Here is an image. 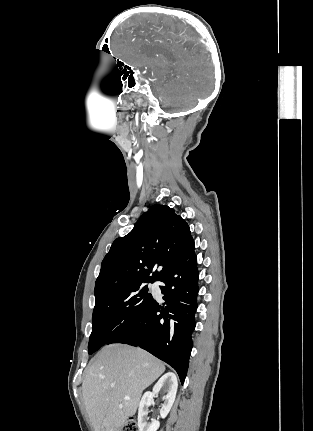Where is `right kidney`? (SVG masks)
Segmentation results:
<instances>
[{
    "instance_id": "ca27d5eb",
    "label": "right kidney",
    "mask_w": 313,
    "mask_h": 431,
    "mask_svg": "<svg viewBox=\"0 0 313 431\" xmlns=\"http://www.w3.org/2000/svg\"><path fill=\"white\" fill-rule=\"evenodd\" d=\"M177 378L175 374L168 372L164 374L158 382L153 387L152 392H146L140 403H139V409H138V428L139 431H157V429L160 426L159 421L157 420H151V422H148V408L150 404L153 401V398L156 394L160 392V390L164 391L166 395L163 398V404L160 409V416L161 418H165L168 413L170 412L173 403L176 398L177 393Z\"/></svg>"
}]
</instances>
